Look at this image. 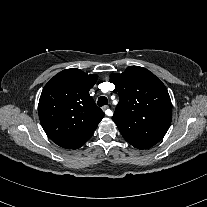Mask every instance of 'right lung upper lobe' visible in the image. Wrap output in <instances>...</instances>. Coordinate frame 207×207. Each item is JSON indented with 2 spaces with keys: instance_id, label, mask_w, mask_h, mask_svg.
I'll list each match as a JSON object with an SVG mask.
<instances>
[{
  "instance_id": "1",
  "label": "right lung upper lobe",
  "mask_w": 207,
  "mask_h": 207,
  "mask_svg": "<svg viewBox=\"0 0 207 207\" xmlns=\"http://www.w3.org/2000/svg\"><path fill=\"white\" fill-rule=\"evenodd\" d=\"M97 78L71 68L59 72L45 85L38 105L39 118L44 131L57 145L80 148L104 117L89 95Z\"/></svg>"
}]
</instances>
